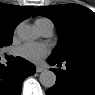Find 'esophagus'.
Returning <instances> with one entry per match:
<instances>
[{
  "mask_svg": "<svg viewBox=\"0 0 95 95\" xmlns=\"http://www.w3.org/2000/svg\"><path fill=\"white\" fill-rule=\"evenodd\" d=\"M43 70H44V68L41 67V66H37V67H36V71H37L38 73L42 72Z\"/></svg>",
  "mask_w": 95,
  "mask_h": 95,
  "instance_id": "34e87169",
  "label": "esophagus"
}]
</instances>
